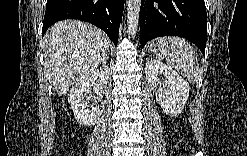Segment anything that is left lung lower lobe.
<instances>
[{
	"label": "left lung lower lobe",
	"mask_w": 247,
	"mask_h": 156,
	"mask_svg": "<svg viewBox=\"0 0 247 156\" xmlns=\"http://www.w3.org/2000/svg\"><path fill=\"white\" fill-rule=\"evenodd\" d=\"M141 47L151 39L175 35L193 42L205 56L207 13L204 0H142Z\"/></svg>",
	"instance_id": "0a47b994"
}]
</instances>
